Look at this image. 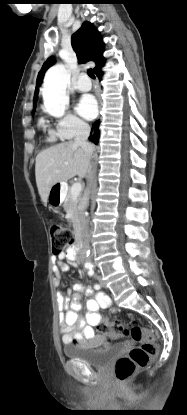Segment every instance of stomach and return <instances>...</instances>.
I'll list each match as a JSON object with an SVG mask.
<instances>
[{
	"label": "stomach",
	"instance_id": "1",
	"mask_svg": "<svg viewBox=\"0 0 187 415\" xmlns=\"http://www.w3.org/2000/svg\"><path fill=\"white\" fill-rule=\"evenodd\" d=\"M65 183H57L53 185L49 191L48 202L53 208H58L63 201V189Z\"/></svg>",
	"mask_w": 187,
	"mask_h": 415
}]
</instances>
